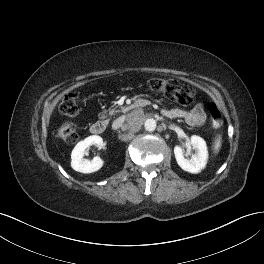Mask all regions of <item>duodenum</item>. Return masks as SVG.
Masks as SVG:
<instances>
[{
	"mask_svg": "<svg viewBox=\"0 0 264 264\" xmlns=\"http://www.w3.org/2000/svg\"><path fill=\"white\" fill-rule=\"evenodd\" d=\"M142 105L141 101H136L134 102L130 108L134 109V108H138ZM107 128V123L103 120H97L94 123H92V125L90 126V131L93 134H102Z\"/></svg>",
	"mask_w": 264,
	"mask_h": 264,
	"instance_id": "duodenum-1",
	"label": "duodenum"
}]
</instances>
